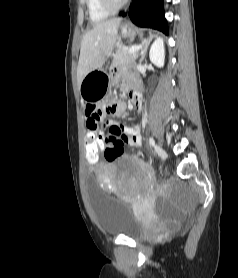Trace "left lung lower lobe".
<instances>
[{"mask_svg":"<svg viewBox=\"0 0 238 278\" xmlns=\"http://www.w3.org/2000/svg\"><path fill=\"white\" fill-rule=\"evenodd\" d=\"M128 15L137 26L154 28L168 34L163 0H133Z\"/></svg>","mask_w":238,"mask_h":278,"instance_id":"0a47b994","label":"left lung lower lobe"}]
</instances>
